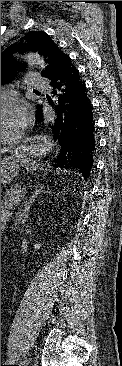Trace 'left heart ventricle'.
I'll return each instance as SVG.
<instances>
[{"label": "left heart ventricle", "mask_w": 122, "mask_h": 366, "mask_svg": "<svg viewBox=\"0 0 122 366\" xmlns=\"http://www.w3.org/2000/svg\"><path fill=\"white\" fill-rule=\"evenodd\" d=\"M20 125V114L14 107L12 111H1V137H7Z\"/></svg>", "instance_id": "obj_1"}]
</instances>
